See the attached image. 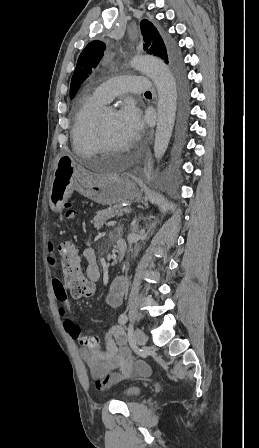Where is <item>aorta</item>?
<instances>
[{
    "instance_id": "obj_1",
    "label": "aorta",
    "mask_w": 259,
    "mask_h": 448,
    "mask_svg": "<svg viewBox=\"0 0 259 448\" xmlns=\"http://www.w3.org/2000/svg\"><path fill=\"white\" fill-rule=\"evenodd\" d=\"M132 66L145 73L158 92V120L154 141V155L161 159L167 150L175 122L177 89L174 77L167 65L153 56H138Z\"/></svg>"
}]
</instances>
